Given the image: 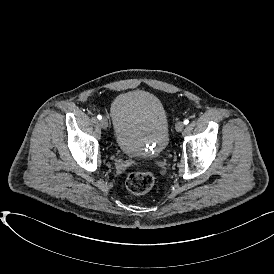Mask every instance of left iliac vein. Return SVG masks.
I'll use <instances>...</instances> for the list:
<instances>
[{"instance_id":"1","label":"left iliac vein","mask_w":274,"mask_h":274,"mask_svg":"<svg viewBox=\"0 0 274 274\" xmlns=\"http://www.w3.org/2000/svg\"><path fill=\"white\" fill-rule=\"evenodd\" d=\"M175 129L177 132H181L184 129V123L182 121H179L175 125Z\"/></svg>"}]
</instances>
